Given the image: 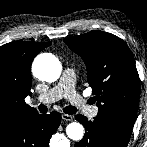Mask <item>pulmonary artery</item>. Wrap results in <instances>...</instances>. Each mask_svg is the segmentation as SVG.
I'll use <instances>...</instances> for the list:
<instances>
[{
    "label": "pulmonary artery",
    "instance_id": "obj_1",
    "mask_svg": "<svg viewBox=\"0 0 147 147\" xmlns=\"http://www.w3.org/2000/svg\"><path fill=\"white\" fill-rule=\"evenodd\" d=\"M61 98L67 99L75 107L83 110L90 118L98 113L97 106H89L86 100L75 89V72L66 68L58 83L47 92L40 94L37 99L42 103H52Z\"/></svg>",
    "mask_w": 147,
    "mask_h": 147
}]
</instances>
